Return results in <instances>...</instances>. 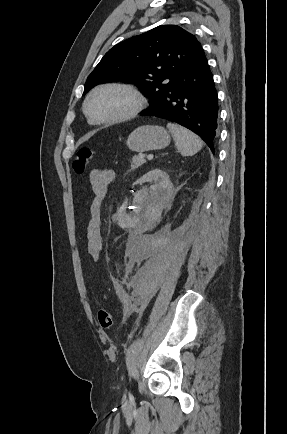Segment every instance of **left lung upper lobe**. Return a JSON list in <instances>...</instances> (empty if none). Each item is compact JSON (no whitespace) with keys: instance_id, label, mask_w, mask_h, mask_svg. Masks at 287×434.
I'll return each mask as SVG.
<instances>
[{"instance_id":"obj_1","label":"left lung upper lobe","mask_w":287,"mask_h":434,"mask_svg":"<svg viewBox=\"0 0 287 434\" xmlns=\"http://www.w3.org/2000/svg\"><path fill=\"white\" fill-rule=\"evenodd\" d=\"M203 54L194 35L177 25H161L111 48L87 78L83 94L100 83L125 81L139 85L153 106Z\"/></svg>"}]
</instances>
